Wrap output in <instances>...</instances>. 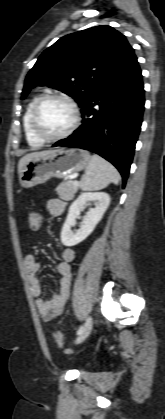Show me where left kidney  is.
<instances>
[{
    "instance_id": "1",
    "label": "left kidney",
    "mask_w": 165,
    "mask_h": 419,
    "mask_svg": "<svg viewBox=\"0 0 165 419\" xmlns=\"http://www.w3.org/2000/svg\"><path fill=\"white\" fill-rule=\"evenodd\" d=\"M87 202H94L95 208L87 213L83 225L73 233L71 227L75 225V218L83 210ZM110 204V196L105 192H83L71 204L67 218L61 231V241L65 246H74L85 240L102 219Z\"/></svg>"
}]
</instances>
